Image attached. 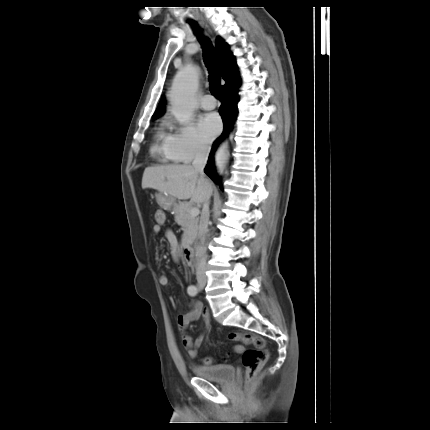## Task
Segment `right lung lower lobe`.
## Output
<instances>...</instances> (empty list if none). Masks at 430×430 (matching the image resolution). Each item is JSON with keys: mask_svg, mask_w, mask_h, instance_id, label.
I'll use <instances>...</instances> for the list:
<instances>
[{"mask_svg": "<svg viewBox=\"0 0 430 430\" xmlns=\"http://www.w3.org/2000/svg\"><path fill=\"white\" fill-rule=\"evenodd\" d=\"M240 86V83L236 86L229 87L226 90L223 91L224 94V103L220 107V114L224 123V130L222 135L214 142L208 164L205 168V173L215 182L218 183V179L215 173L214 169V161H213V155L214 152L220 142V140L231 130L232 125L235 120V115L237 113V100H238V87Z\"/></svg>", "mask_w": 430, "mask_h": 430, "instance_id": "right-lung-lower-lobe-1", "label": "right lung lower lobe"}]
</instances>
